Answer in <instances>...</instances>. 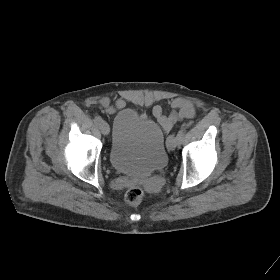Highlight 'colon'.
Wrapping results in <instances>:
<instances>
[{
	"mask_svg": "<svg viewBox=\"0 0 280 280\" xmlns=\"http://www.w3.org/2000/svg\"><path fill=\"white\" fill-rule=\"evenodd\" d=\"M144 197V190L139 187L135 186L127 190L125 193V201L129 205H138Z\"/></svg>",
	"mask_w": 280,
	"mask_h": 280,
	"instance_id": "5ec220e1",
	"label": "colon"
}]
</instances>
